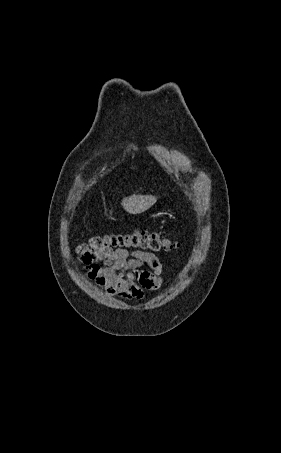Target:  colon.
Instances as JSON below:
<instances>
[{"label":"colon","mask_w":281,"mask_h":453,"mask_svg":"<svg viewBox=\"0 0 281 453\" xmlns=\"http://www.w3.org/2000/svg\"><path fill=\"white\" fill-rule=\"evenodd\" d=\"M113 245H122L129 250H156L158 252H169L175 249L173 241L165 239L157 232H149L145 229H134L133 232L123 234H112L108 236H95L89 239L88 243L79 253L81 261L104 262V250L112 249Z\"/></svg>","instance_id":"obj_1"}]
</instances>
